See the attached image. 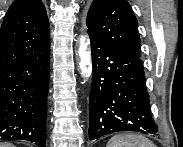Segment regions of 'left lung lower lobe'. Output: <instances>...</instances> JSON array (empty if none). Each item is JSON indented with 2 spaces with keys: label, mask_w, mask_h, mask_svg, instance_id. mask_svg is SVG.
<instances>
[{
  "label": "left lung lower lobe",
  "mask_w": 183,
  "mask_h": 147,
  "mask_svg": "<svg viewBox=\"0 0 183 147\" xmlns=\"http://www.w3.org/2000/svg\"><path fill=\"white\" fill-rule=\"evenodd\" d=\"M90 42L89 139L123 131L158 135L140 57L92 36Z\"/></svg>",
  "instance_id": "left-lung-lower-lobe-1"
}]
</instances>
